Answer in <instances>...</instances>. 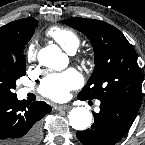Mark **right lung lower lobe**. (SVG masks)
I'll list each match as a JSON object with an SVG mask.
<instances>
[{
  "label": "right lung lower lobe",
  "mask_w": 145,
  "mask_h": 145,
  "mask_svg": "<svg viewBox=\"0 0 145 145\" xmlns=\"http://www.w3.org/2000/svg\"><path fill=\"white\" fill-rule=\"evenodd\" d=\"M52 108L44 101H19L16 94H0V145H37L40 120Z\"/></svg>",
  "instance_id": "98d812e1"
}]
</instances>
